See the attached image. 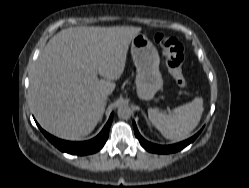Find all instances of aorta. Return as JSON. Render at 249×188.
Listing matches in <instances>:
<instances>
[{
	"instance_id": "aorta-1",
	"label": "aorta",
	"mask_w": 249,
	"mask_h": 188,
	"mask_svg": "<svg viewBox=\"0 0 249 188\" xmlns=\"http://www.w3.org/2000/svg\"><path fill=\"white\" fill-rule=\"evenodd\" d=\"M131 113V108L126 105L120 106L117 110V115L120 119H129L131 117Z\"/></svg>"
}]
</instances>
